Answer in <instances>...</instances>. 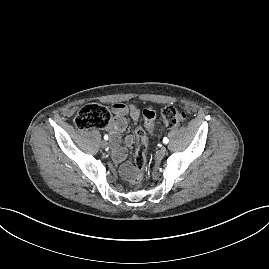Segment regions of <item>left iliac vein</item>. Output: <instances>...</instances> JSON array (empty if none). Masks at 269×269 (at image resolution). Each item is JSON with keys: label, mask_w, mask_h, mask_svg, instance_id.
Masks as SVG:
<instances>
[{"label": "left iliac vein", "mask_w": 269, "mask_h": 269, "mask_svg": "<svg viewBox=\"0 0 269 269\" xmlns=\"http://www.w3.org/2000/svg\"><path fill=\"white\" fill-rule=\"evenodd\" d=\"M165 155H166V149L165 148H161L160 150L157 151L156 159H161Z\"/></svg>", "instance_id": "1"}]
</instances>
